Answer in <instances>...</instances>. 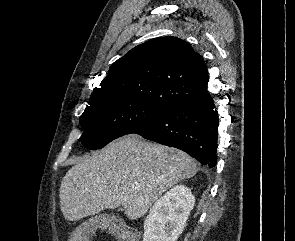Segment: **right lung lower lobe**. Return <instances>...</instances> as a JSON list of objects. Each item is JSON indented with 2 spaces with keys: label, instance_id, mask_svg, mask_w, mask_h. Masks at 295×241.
I'll list each match as a JSON object with an SVG mask.
<instances>
[{
  "label": "right lung lower lobe",
  "instance_id": "1",
  "mask_svg": "<svg viewBox=\"0 0 295 241\" xmlns=\"http://www.w3.org/2000/svg\"><path fill=\"white\" fill-rule=\"evenodd\" d=\"M218 113L208 92L184 98L156 118L131 130L142 137L176 147L213 168L217 162Z\"/></svg>",
  "mask_w": 295,
  "mask_h": 241
}]
</instances>
